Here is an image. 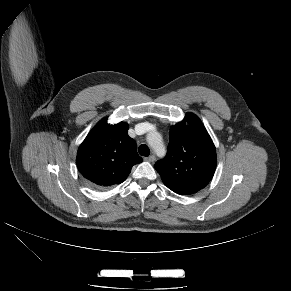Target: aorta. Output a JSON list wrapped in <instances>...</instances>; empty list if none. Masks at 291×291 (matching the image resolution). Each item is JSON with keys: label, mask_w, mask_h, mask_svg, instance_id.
<instances>
[{"label": "aorta", "mask_w": 291, "mask_h": 291, "mask_svg": "<svg viewBox=\"0 0 291 291\" xmlns=\"http://www.w3.org/2000/svg\"><path fill=\"white\" fill-rule=\"evenodd\" d=\"M147 141L156 153L164 150L161 135L158 132L148 134Z\"/></svg>", "instance_id": "1"}]
</instances>
